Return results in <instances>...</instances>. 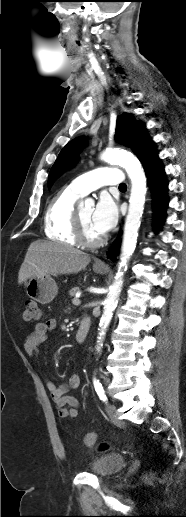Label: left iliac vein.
Returning <instances> with one entry per match:
<instances>
[{"label":"left iliac vein","instance_id":"left-iliac-vein-1","mask_svg":"<svg viewBox=\"0 0 186 517\" xmlns=\"http://www.w3.org/2000/svg\"><path fill=\"white\" fill-rule=\"evenodd\" d=\"M106 411L109 415V417L114 421V422H119V414L117 412V408L115 405L113 404H108L106 406Z\"/></svg>","mask_w":186,"mask_h":517}]
</instances>
